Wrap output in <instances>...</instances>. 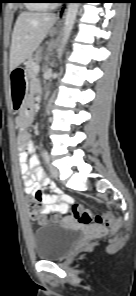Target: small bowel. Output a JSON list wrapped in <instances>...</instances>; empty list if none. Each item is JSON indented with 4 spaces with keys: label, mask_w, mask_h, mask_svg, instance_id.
Returning a JSON list of instances; mask_svg holds the SVG:
<instances>
[{
    "label": "small bowel",
    "mask_w": 136,
    "mask_h": 296,
    "mask_svg": "<svg viewBox=\"0 0 136 296\" xmlns=\"http://www.w3.org/2000/svg\"><path fill=\"white\" fill-rule=\"evenodd\" d=\"M34 111L35 103L31 94L30 101H26L25 107L16 118V124L21 129V133L18 136V156L24 190L43 204V209L41 210L43 214H64L71 199L68 195L61 192L42 169L39 159L35 155V144L29 139L26 132V128L33 120ZM47 187L50 188L49 192L46 191ZM30 217L33 220L37 219L33 216Z\"/></svg>",
    "instance_id": "small-bowel-1"
}]
</instances>
